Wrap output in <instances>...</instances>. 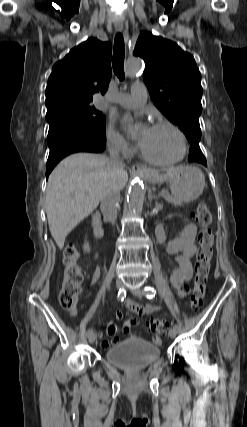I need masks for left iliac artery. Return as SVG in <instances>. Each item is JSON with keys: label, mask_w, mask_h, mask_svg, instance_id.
I'll list each match as a JSON object with an SVG mask.
<instances>
[{"label": "left iliac artery", "mask_w": 247, "mask_h": 427, "mask_svg": "<svg viewBox=\"0 0 247 427\" xmlns=\"http://www.w3.org/2000/svg\"><path fill=\"white\" fill-rule=\"evenodd\" d=\"M144 292H145V296H146L148 299L153 298V297H154V295H155V293H156V291L154 290V288H153V287H150V286L145 287ZM174 327H175L176 329H178V330H179V328H180L178 324H175V325H174Z\"/></svg>", "instance_id": "1"}]
</instances>
